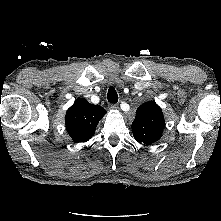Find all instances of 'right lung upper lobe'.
Returning a JSON list of instances; mask_svg holds the SVG:
<instances>
[{"label": "right lung upper lobe", "instance_id": "cb5924a9", "mask_svg": "<svg viewBox=\"0 0 221 221\" xmlns=\"http://www.w3.org/2000/svg\"><path fill=\"white\" fill-rule=\"evenodd\" d=\"M105 113L101 106L90 104L84 98H78L65 116L66 129L72 140L79 143L92 138L97 124Z\"/></svg>", "mask_w": 221, "mask_h": 221}]
</instances>
